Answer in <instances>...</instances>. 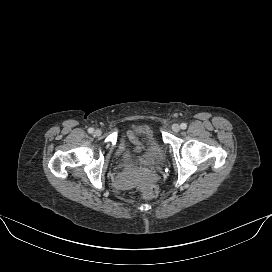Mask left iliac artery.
I'll list each match as a JSON object with an SVG mask.
<instances>
[{"label":"left iliac artery","mask_w":272,"mask_h":272,"mask_svg":"<svg viewBox=\"0 0 272 272\" xmlns=\"http://www.w3.org/2000/svg\"><path fill=\"white\" fill-rule=\"evenodd\" d=\"M180 127H181V129H186L187 128V124L186 123H181V125H180Z\"/></svg>","instance_id":"44dca946"}]
</instances>
